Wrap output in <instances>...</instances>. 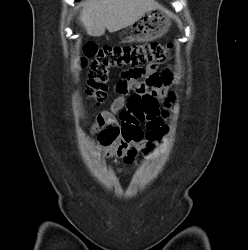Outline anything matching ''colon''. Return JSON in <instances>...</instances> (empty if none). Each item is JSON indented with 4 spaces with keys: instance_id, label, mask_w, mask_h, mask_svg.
Returning a JSON list of instances; mask_svg holds the SVG:
<instances>
[{
    "instance_id": "5ec220e1",
    "label": "colon",
    "mask_w": 248,
    "mask_h": 250,
    "mask_svg": "<svg viewBox=\"0 0 248 250\" xmlns=\"http://www.w3.org/2000/svg\"><path fill=\"white\" fill-rule=\"evenodd\" d=\"M171 47L164 43H148L127 46H102L86 44L83 47L84 58L81 63L89 67V79L86 92L95 102H103L108 93L109 71L114 68L156 66L170 55ZM137 75V71L132 73ZM170 81L167 72L157 73L148 79L156 87H164ZM127 107L138 120H144L159 109L156 96L151 93L134 92L129 95Z\"/></svg>"
}]
</instances>
